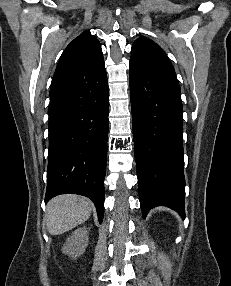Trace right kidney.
<instances>
[{"instance_id": "obj_1", "label": "right kidney", "mask_w": 231, "mask_h": 286, "mask_svg": "<svg viewBox=\"0 0 231 286\" xmlns=\"http://www.w3.org/2000/svg\"><path fill=\"white\" fill-rule=\"evenodd\" d=\"M88 230L80 227L67 238L63 245L62 252L74 258L82 255L88 246Z\"/></svg>"}]
</instances>
